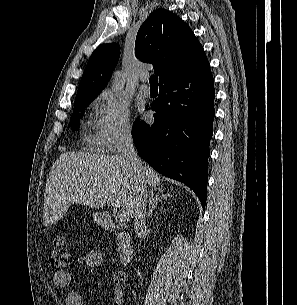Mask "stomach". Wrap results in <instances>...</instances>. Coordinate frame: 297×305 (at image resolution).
I'll use <instances>...</instances> for the list:
<instances>
[{
  "label": "stomach",
  "instance_id": "0dacf381",
  "mask_svg": "<svg viewBox=\"0 0 297 305\" xmlns=\"http://www.w3.org/2000/svg\"><path fill=\"white\" fill-rule=\"evenodd\" d=\"M94 219L95 221H97L98 223H101L102 219H101V215L99 213H95L94 214Z\"/></svg>",
  "mask_w": 297,
  "mask_h": 305
}]
</instances>
